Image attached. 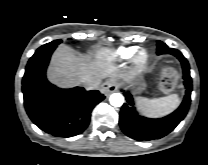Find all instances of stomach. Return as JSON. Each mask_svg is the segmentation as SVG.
<instances>
[{"instance_id":"1","label":"stomach","mask_w":208,"mask_h":165,"mask_svg":"<svg viewBox=\"0 0 208 165\" xmlns=\"http://www.w3.org/2000/svg\"><path fill=\"white\" fill-rule=\"evenodd\" d=\"M120 80L131 84V86L135 87L138 92L144 90L146 86L142 73L138 71H131L126 73L120 77Z\"/></svg>"}]
</instances>
